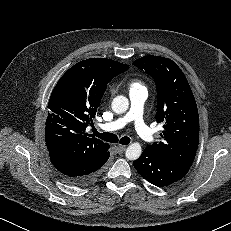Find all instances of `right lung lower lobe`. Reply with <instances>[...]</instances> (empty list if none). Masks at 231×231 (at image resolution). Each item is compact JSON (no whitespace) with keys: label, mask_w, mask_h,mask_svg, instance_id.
<instances>
[{"label":"right lung lower lobe","mask_w":231,"mask_h":231,"mask_svg":"<svg viewBox=\"0 0 231 231\" xmlns=\"http://www.w3.org/2000/svg\"><path fill=\"white\" fill-rule=\"evenodd\" d=\"M109 156L110 153L107 151L103 156L85 162H72L52 155H50V159L66 183L74 186H85L92 183L101 174Z\"/></svg>","instance_id":"obj_1"}]
</instances>
